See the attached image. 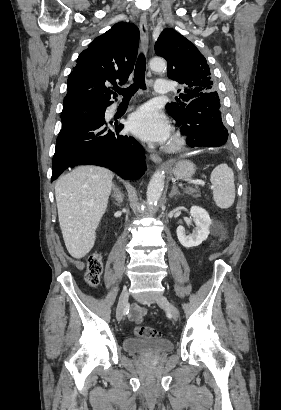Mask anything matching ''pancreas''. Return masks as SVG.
Wrapping results in <instances>:
<instances>
[{"instance_id":"cf45deb5","label":"pancreas","mask_w":281,"mask_h":410,"mask_svg":"<svg viewBox=\"0 0 281 410\" xmlns=\"http://www.w3.org/2000/svg\"><path fill=\"white\" fill-rule=\"evenodd\" d=\"M185 193L192 195L193 197H199L200 196V192L197 188H193V187H187L185 190Z\"/></svg>"}]
</instances>
